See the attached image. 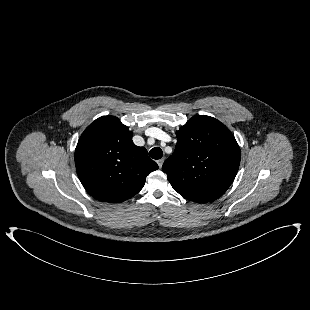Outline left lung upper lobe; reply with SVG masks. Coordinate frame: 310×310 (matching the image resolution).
Segmentation results:
<instances>
[{"mask_svg": "<svg viewBox=\"0 0 310 310\" xmlns=\"http://www.w3.org/2000/svg\"><path fill=\"white\" fill-rule=\"evenodd\" d=\"M174 153L162 169L172 187L188 200L218 199L240 164V148L230 130L210 116H194L177 132Z\"/></svg>", "mask_w": 310, "mask_h": 310, "instance_id": "left-lung-upper-lobe-1", "label": "left lung upper lobe"}]
</instances>
